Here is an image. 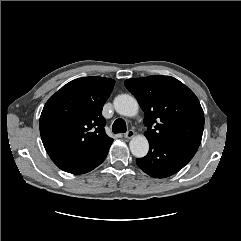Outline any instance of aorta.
<instances>
[{
	"mask_svg": "<svg viewBox=\"0 0 241 241\" xmlns=\"http://www.w3.org/2000/svg\"><path fill=\"white\" fill-rule=\"evenodd\" d=\"M114 108L120 115L132 117L138 113L139 105L134 97L121 94L114 99ZM129 147L131 153L137 158L146 156L149 151V143L144 135L134 136L129 143Z\"/></svg>",
	"mask_w": 241,
	"mask_h": 241,
	"instance_id": "1",
	"label": "aorta"
}]
</instances>
